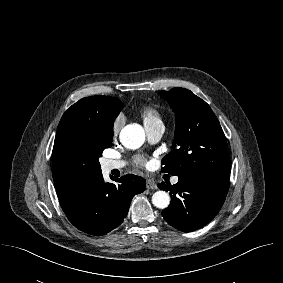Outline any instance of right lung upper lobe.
Segmentation results:
<instances>
[{
  "label": "right lung upper lobe",
  "mask_w": 283,
  "mask_h": 283,
  "mask_svg": "<svg viewBox=\"0 0 283 283\" xmlns=\"http://www.w3.org/2000/svg\"><path fill=\"white\" fill-rule=\"evenodd\" d=\"M122 107L123 103L118 98L96 95L80 99L66 110L59 122L52 152L53 178L58 197L66 195L87 178L70 173L64 164L65 138L70 124L81 121L113 130L114 119Z\"/></svg>",
  "instance_id": "right-lung-upper-lobe-1"
}]
</instances>
